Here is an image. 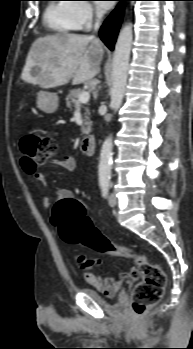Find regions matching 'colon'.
<instances>
[{
    "label": "colon",
    "mask_w": 193,
    "mask_h": 349,
    "mask_svg": "<svg viewBox=\"0 0 193 349\" xmlns=\"http://www.w3.org/2000/svg\"><path fill=\"white\" fill-rule=\"evenodd\" d=\"M20 149L25 163L32 169H37L56 154L57 144L52 137L40 135L37 130H32L21 138ZM52 223L67 243L83 244L98 253L134 261L142 274V280L135 287L131 301L132 311L136 315H142L160 301L167 281L163 269L145 255L107 239L93 226L80 202L58 201L54 206ZM77 262L83 269H91L96 264L95 259L83 254L78 256Z\"/></svg>",
    "instance_id": "obj_1"
}]
</instances>
